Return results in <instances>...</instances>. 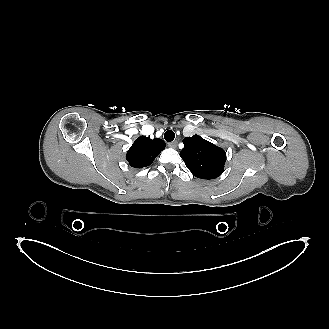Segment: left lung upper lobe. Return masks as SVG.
<instances>
[{
  "mask_svg": "<svg viewBox=\"0 0 329 329\" xmlns=\"http://www.w3.org/2000/svg\"><path fill=\"white\" fill-rule=\"evenodd\" d=\"M180 156L192 174L201 179H215L224 171L226 153L198 135L184 138Z\"/></svg>",
  "mask_w": 329,
  "mask_h": 329,
  "instance_id": "1",
  "label": "left lung upper lobe"
}]
</instances>
